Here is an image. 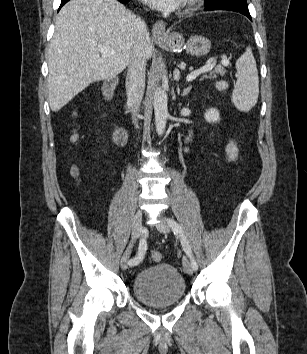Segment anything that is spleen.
<instances>
[{"instance_id": "1", "label": "spleen", "mask_w": 307, "mask_h": 354, "mask_svg": "<svg viewBox=\"0 0 307 354\" xmlns=\"http://www.w3.org/2000/svg\"><path fill=\"white\" fill-rule=\"evenodd\" d=\"M237 81L232 92V103L242 111L248 112L257 103L259 95V78L252 50L250 47L236 61ZM218 90H224L228 84L224 81L216 84Z\"/></svg>"}]
</instances>
